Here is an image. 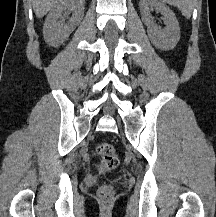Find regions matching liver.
I'll return each mask as SVG.
<instances>
[{
  "mask_svg": "<svg viewBox=\"0 0 216 217\" xmlns=\"http://www.w3.org/2000/svg\"><path fill=\"white\" fill-rule=\"evenodd\" d=\"M58 3L59 0H32L33 10L38 18L45 16Z\"/></svg>",
  "mask_w": 216,
  "mask_h": 217,
  "instance_id": "1",
  "label": "liver"
}]
</instances>
